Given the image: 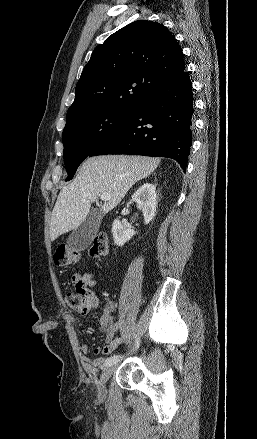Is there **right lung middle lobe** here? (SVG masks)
Listing matches in <instances>:
<instances>
[{"mask_svg": "<svg viewBox=\"0 0 257 439\" xmlns=\"http://www.w3.org/2000/svg\"><path fill=\"white\" fill-rule=\"evenodd\" d=\"M135 109L102 108L86 111L66 120L62 141L64 161L68 172L66 181L94 148L113 133L133 114Z\"/></svg>", "mask_w": 257, "mask_h": 439, "instance_id": "1", "label": "right lung middle lobe"}]
</instances>
